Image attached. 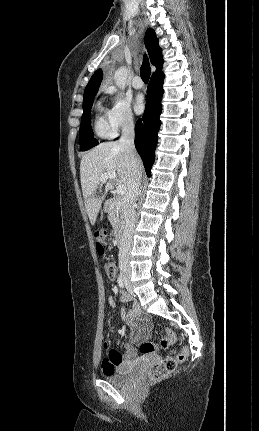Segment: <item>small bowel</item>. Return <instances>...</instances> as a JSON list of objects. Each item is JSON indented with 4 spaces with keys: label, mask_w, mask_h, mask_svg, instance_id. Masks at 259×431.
Listing matches in <instances>:
<instances>
[{
    "label": "small bowel",
    "mask_w": 259,
    "mask_h": 431,
    "mask_svg": "<svg viewBox=\"0 0 259 431\" xmlns=\"http://www.w3.org/2000/svg\"><path fill=\"white\" fill-rule=\"evenodd\" d=\"M124 302H127L126 297L123 298ZM107 304L111 309H115L116 302L113 297L107 298ZM139 310L132 308L124 311L123 316L126 319L127 325L132 330L135 341H140L145 338V334L150 329V323L147 319L139 318ZM138 352L135 348L130 347L123 355L116 349H110L107 351L106 357L102 362L103 372H111L122 364L128 363L131 359L136 358Z\"/></svg>",
    "instance_id": "obj_1"
}]
</instances>
